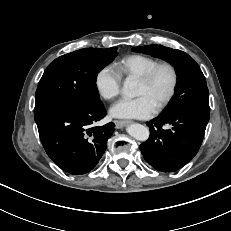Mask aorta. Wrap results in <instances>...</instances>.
<instances>
[{"mask_svg":"<svg viewBox=\"0 0 231 231\" xmlns=\"http://www.w3.org/2000/svg\"><path fill=\"white\" fill-rule=\"evenodd\" d=\"M136 82L131 78H127L123 84V94L126 97H134L136 94ZM127 132L130 136L139 141H146L150 136L149 129L141 124H132L127 127Z\"/></svg>","mask_w":231,"mask_h":231,"instance_id":"1","label":"aorta"}]
</instances>
